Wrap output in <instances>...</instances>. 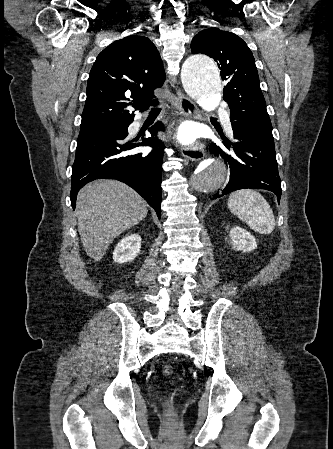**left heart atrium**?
<instances>
[{
	"mask_svg": "<svg viewBox=\"0 0 333 449\" xmlns=\"http://www.w3.org/2000/svg\"><path fill=\"white\" fill-rule=\"evenodd\" d=\"M193 133L189 128H181L178 133V139L185 144H189L193 141Z\"/></svg>",
	"mask_w": 333,
	"mask_h": 449,
	"instance_id": "obj_1",
	"label": "left heart atrium"
}]
</instances>
